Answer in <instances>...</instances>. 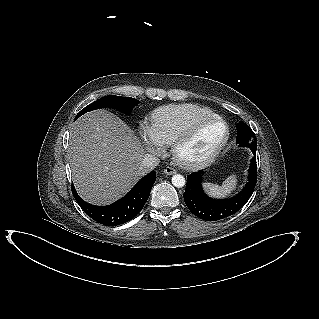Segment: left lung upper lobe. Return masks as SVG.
<instances>
[{"label": "left lung upper lobe", "mask_w": 319, "mask_h": 319, "mask_svg": "<svg viewBox=\"0 0 319 319\" xmlns=\"http://www.w3.org/2000/svg\"><path fill=\"white\" fill-rule=\"evenodd\" d=\"M237 143L242 147L257 148V139L252 129L243 122L237 124Z\"/></svg>", "instance_id": "obj_1"}]
</instances>
